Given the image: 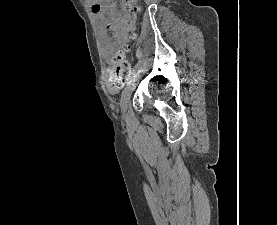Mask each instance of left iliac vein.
Listing matches in <instances>:
<instances>
[{
    "label": "left iliac vein",
    "instance_id": "4c4485c4",
    "mask_svg": "<svg viewBox=\"0 0 277 225\" xmlns=\"http://www.w3.org/2000/svg\"><path fill=\"white\" fill-rule=\"evenodd\" d=\"M140 77H141L140 74H137L136 76L132 77L122 92V96H121V100H120V107H121V110L123 113H125L128 108V104H129L131 95H132V93L136 87V83L140 79Z\"/></svg>",
    "mask_w": 277,
    "mask_h": 225
}]
</instances>
